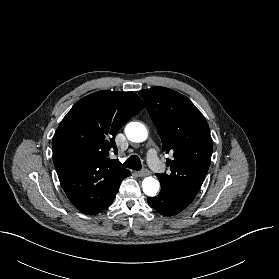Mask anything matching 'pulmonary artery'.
<instances>
[{
	"instance_id": "pulmonary-artery-1",
	"label": "pulmonary artery",
	"mask_w": 279,
	"mask_h": 279,
	"mask_svg": "<svg viewBox=\"0 0 279 279\" xmlns=\"http://www.w3.org/2000/svg\"><path fill=\"white\" fill-rule=\"evenodd\" d=\"M147 159H148V162H149L150 166L153 169H156V170L159 169L160 162H159V159L157 157V153L154 149H151V150L148 151Z\"/></svg>"
}]
</instances>
